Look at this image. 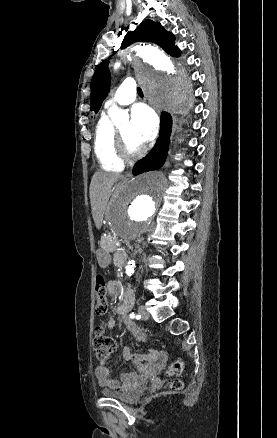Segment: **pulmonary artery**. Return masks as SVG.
Wrapping results in <instances>:
<instances>
[{
  "instance_id": "1",
  "label": "pulmonary artery",
  "mask_w": 277,
  "mask_h": 438,
  "mask_svg": "<svg viewBox=\"0 0 277 438\" xmlns=\"http://www.w3.org/2000/svg\"><path fill=\"white\" fill-rule=\"evenodd\" d=\"M136 82L133 77H126L125 81L120 83V97L118 95H111L109 100L105 103L104 108L107 112L120 107L131 104L137 94Z\"/></svg>"
}]
</instances>
